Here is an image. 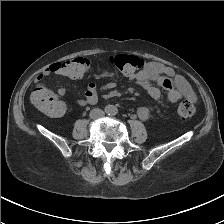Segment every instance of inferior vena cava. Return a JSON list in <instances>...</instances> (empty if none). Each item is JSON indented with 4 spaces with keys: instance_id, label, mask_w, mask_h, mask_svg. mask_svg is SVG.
Returning <instances> with one entry per match:
<instances>
[{
    "instance_id": "obj_1",
    "label": "inferior vena cava",
    "mask_w": 224,
    "mask_h": 224,
    "mask_svg": "<svg viewBox=\"0 0 224 224\" xmlns=\"http://www.w3.org/2000/svg\"><path fill=\"white\" fill-rule=\"evenodd\" d=\"M104 115H105L104 111L99 108H95L90 111V118L92 119L102 118L104 117Z\"/></svg>"
}]
</instances>
